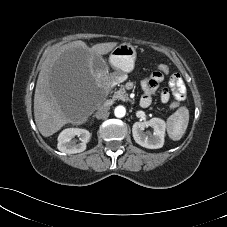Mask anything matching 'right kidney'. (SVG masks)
I'll use <instances>...</instances> for the list:
<instances>
[{"label":"right kidney","mask_w":227,"mask_h":227,"mask_svg":"<svg viewBox=\"0 0 227 227\" xmlns=\"http://www.w3.org/2000/svg\"><path fill=\"white\" fill-rule=\"evenodd\" d=\"M76 136L80 143H76L74 139ZM90 137V132L85 129L67 128L59 134L57 148L67 154L80 153L86 149V143L89 142Z\"/></svg>","instance_id":"1"}]
</instances>
